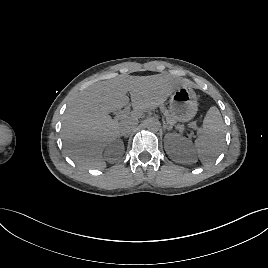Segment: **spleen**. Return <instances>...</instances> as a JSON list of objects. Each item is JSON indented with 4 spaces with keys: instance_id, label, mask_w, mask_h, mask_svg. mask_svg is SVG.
<instances>
[{
    "instance_id": "spleen-1",
    "label": "spleen",
    "mask_w": 268,
    "mask_h": 268,
    "mask_svg": "<svg viewBox=\"0 0 268 268\" xmlns=\"http://www.w3.org/2000/svg\"><path fill=\"white\" fill-rule=\"evenodd\" d=\"M225 141V124L217 107L212 106L204 120L203 133L195 140V149L204 165L211 164L220 154Z\"/></svg>"
}]
</instances>
